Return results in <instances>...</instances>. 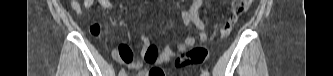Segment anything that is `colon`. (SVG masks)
Returning <instances> with one entry per match:
<instances>
[{
	"label": "colon",
	"instance_id": "obj_1",
	"mask_svg": "<svg viewBox=\"0 0 333 76\" xmlns=\"http://www.w3.org/2000/svg\"><path fill=\"white\" fill-rule=\"evenodd\" d=\"M251 0H236L233 2L231 18L224 24L221 30V36L225 37L231 32L232 24L235 18H237L241 13L246 11ZM208 52L203 47H196L190 50L186 55L181 56L175 62L177 67H183L188 65H199L202 64L207 58Z\"/></svg>",
	"mask_w": 333,
	"mask_h": 76
}]
</instances>
